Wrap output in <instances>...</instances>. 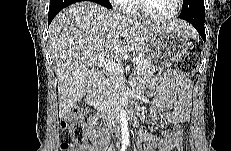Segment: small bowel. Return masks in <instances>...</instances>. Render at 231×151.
I'll return each instance as SVG.
<instances>
[{"label": "small bowel", "instance_id": "c3829d8e", "mask_svg": "<svg viewBox=\"0 0 231 151\" xmlns=\"http://www.w3.org/2000/svg\"><path fill=\"white\" fill-rule=\"evenodd\" d=\"M147 87L156 94L151 101V121L157 123L161 116L171 129L158 135L140 128L137 135V151H170L174 143V129L189 120L191 83L180 72L167 71L151 80ZM142 89L139 87L140 91ZM97 122V116L89 118L87 140L81 145L82 151H106V134ZM144 143L148 145L144 147Z\"/></svg>", "mask_w": 231, "mask_h": 151}]
</instances>
